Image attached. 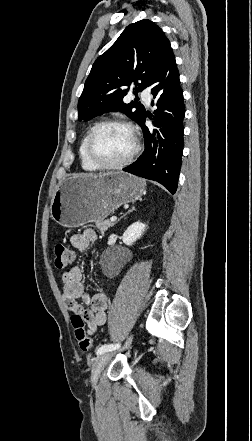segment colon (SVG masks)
I'll return each instance as SVG.
<instances>
[{"instance_id": "obj_1", "label": "colon", "mask_w": 252, "mask_h": 441, "mask_svg": "<svg viewBox=\"0 0 252 441\" xmlns=\"http://www.w3.org/2000/svg\"><path fill=\"white\" fill-rule=\"evenodd\" d=\"M73 260V253L63 244L55 246V266L58 269L65 268ZM76 340L79 348L87 351L92 346V340L85 329V322L79 314H73L71 317Z\"/></svg>"}]
</instances>
